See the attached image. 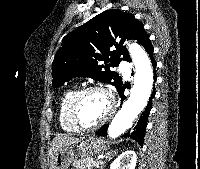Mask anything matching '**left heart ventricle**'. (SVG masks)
Masks as SVG:
<instances>
[{
  "label": "left heart ventricle",
  "instance_id": "1",
  "mask_svg": "<svg viewBox=\"0 0 200 169\" xmlns=\"http://www.w3.org/2000/svg\"><path fill=\"white\" fill-rule=\"evenodd\" d=\"M108 100L101 92L87 93L78 105V118L83 126H92L98 123L108 110Z\"/></svg>",
  "mask_w": 200,
  "mask_h": 169
}]
</instances>
